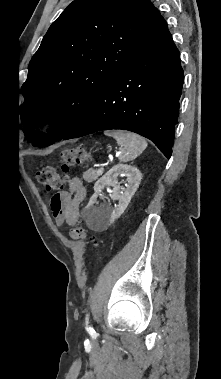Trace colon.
<instances>
[{"mask_svg": "<svg viewBox=\"0 0 221 379\" xmlns=\"http://www.w3.org/2000/svg\"><path fill=\"white\" fill-rule=\"evenodd\" d=\"M62 163L60 166L61 173H58L55 168L51 166L43 167L37 172L38 181L43 184L46 190H61L67 183V176L70 168L77 164L88 160L87 153L81 148H71L62 152ZM70 236L75 240H85L87 233L82 226H74L70 230ZM94 245L97 242L94 241Z\"/></svg>", "mask_w": 221, "mask_h": 379, "instance_id": "obj_1", "label": "colon"}]
</instances>
